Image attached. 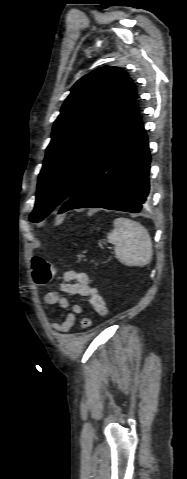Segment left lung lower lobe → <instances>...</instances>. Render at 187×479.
I'll use <instances>...</instances> for the list:
<instances>
[{
    "mask_svg": "<svg viewBox=\"0 0 187 479\" xmlns=\"http://www.w3.org/2000/svg\"><path fill=\"white\" fill-rule=\"evenodd\" d=\"M150 153L135 102L119 136L92 166L59 213L105 208L138 213L149 195Z\"/></svg>",
    "mask_w": 187,
    "mask_h": 479,
    "instance_id": "left-lung-lower-lobe-1",
    "label": "left lung lower lobe"
}]
</instances>
